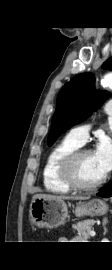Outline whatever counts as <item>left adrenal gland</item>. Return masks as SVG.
<instances>
[{"instance_id":"obj_1","label":"left adrenal gland","mask_w":112,"mask_h":270,"mask_svg":"<svg viewBox=\"0 0 112 270\" xmlns=\"http://www.w3.org/2000/svg\"><path fill=\"white\" fill-rule=\"evenodd\" d=\"M106 224H107V218H105V219L103 220V226H104L105 233L107 232V229H106V227H105Z\"/></svg>"}]
</instances>
